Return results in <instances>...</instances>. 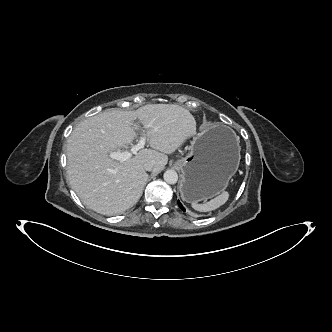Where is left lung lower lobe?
Segmentation results:
<instances>
[{
    "instance_id": "0a47b994",
    "label": "left lung lower lobe",
    "mask_w": 332,
    "mask_h": 332,
    "mask_svg": "<svg viewBox=\"0 0 332 332\" xmlns=\"http://www.w3.org/2000/svg\"><path fill=\"white\" fill-rule=\"evenodd\" d=\"M178 205H179V207H180L182 210H184V211H185V209L183 208V206H182V204H181V202H180V201H178Z\"/></svg>"
}]
</instances>
